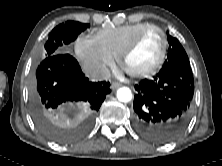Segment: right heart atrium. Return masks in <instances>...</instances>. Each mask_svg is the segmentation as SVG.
Instances as JSON below:
<instances>
[{"instance_id":"d8ad5b80","label":"right heart atrium","mask_w":222,"mask_h":166,"mask_svg":"<svg viewBox=\"0 0 222 166\" xmlns=\"http://www.w3.org/2000/svg\"><path fill=\"white\" fill-rule=\"evenodd\" d=\"M75 49L78 59L91 76L103 78L108 74L114 59L98 45L92 36H79Z\"/></svg>"}]
</instances>
